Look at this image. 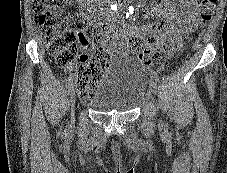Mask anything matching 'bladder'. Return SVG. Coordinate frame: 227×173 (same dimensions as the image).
<instances>
[{
  "label": "bladder",
  "instance_id": "obj_1",
  "mask_svg": "<svg viewBox=\"0 0 227 173\" xmlns=\"http://www.w3.org/2000/svg\"><path fill=\"white\" fill-rule=\"evenodd\" d=\"M147 91V69L132 57L115 61L108 67L89 105L96 111L126 113L137 108Z\"/></svg>",
  "mask_w": 227,
  "mask_h": 173
}]
</instances>
